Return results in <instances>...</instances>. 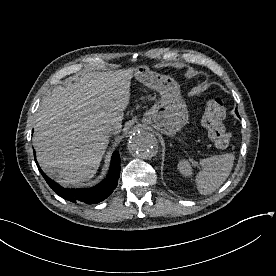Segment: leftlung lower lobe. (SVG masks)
<instances>
[{
	"label": "left lung lower lobe",
	"instance_id": "1",
	"mask_svg": "<svg viewBox=\"0 0 276 276\" xmlns=\"http://www.w3.org/2000/svg\"><path fill=\"white\" fill-rule=\"evenodd\" d=\"M235 112H236V114L238 115L237 109H236V111H235ZM238 116H239V115H238Z\"/></svg>",
	"mask_w": 276,
	"mask_h": 276
}]
</instances>
